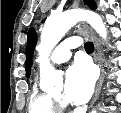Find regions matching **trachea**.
<instances>
[{"mask_svg": "<svg viewBox=\"0 0 121 113\" xmlns=\"http://www.w3.org/2000/svg\"><path fill=\"white\" fill-rule=\"evenodd\" d=\"M84 47H85L86 52H88V53H92L94 50V44L90 41L86 42Z\"/></svg>", "mask_w": 121, "mask_h": 113, "instance_id": "1", "label": "trachea"}]
</instances>
